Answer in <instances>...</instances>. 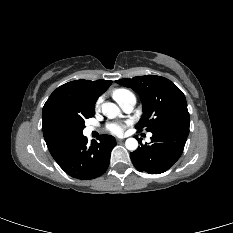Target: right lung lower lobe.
Segmentation results:
<instances>
[{
	"instance_id": "98d812e1",
	"label": "right lung lower lobe",
	"mask_w": 233,
	"mask_h": 233,
	"mask_svg": "<svg viewBox=\"0 0 233 233\" xmlns=\"http://www.w3.org/2000/svg\"><path fill=\"white\" fill-rule=\"evenodd\" d=\"M99 142L81 136L51 155L70 176L85 180L101 176L110 163V153L116 145L111 135H101Z\"/></svg>"
}]
</instances>
